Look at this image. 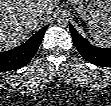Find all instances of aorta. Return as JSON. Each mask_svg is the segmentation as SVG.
Here are the masks:
<instances>
[{
    "instance_id": "762f6f07",
    "label": "aorta",
    "mask_w": 111,
    "mask_h": 106,
    "mask_svg": "<svg viewBox=\"0 0 111 106\" xmlns=\"http://www.w3.org/2000/svg\"><path fill=\"white\" fill-rule=\"evenodd\" d=\"M57 22L59 25H62V26H66L68 24V21H67L66 17H64V16H60L57 19Z\"/></svg>"
}]
</instances>
